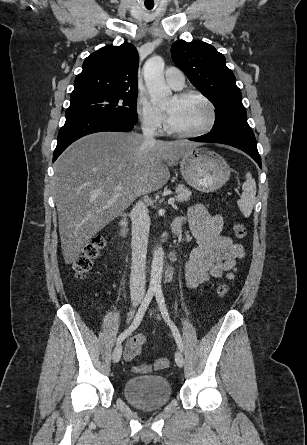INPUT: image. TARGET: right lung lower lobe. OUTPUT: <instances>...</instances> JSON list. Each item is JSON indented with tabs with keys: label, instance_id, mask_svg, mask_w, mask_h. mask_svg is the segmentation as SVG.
<instances>
[{
	"label": "right lung lower lobe",
	"instance_id": "right-lung-lower-lobe-1",
	"mask_svg": "<svg viewBox=\"0 0 307 445\" xmlns=\"http://www.w3.org/2000/svg\"><path fill=\"white\" fill-rule=\"evenodd\" d=\"M135 124L118 118L98 115L66 119L58 134L53 162L71 143L85 135L101 131H128Z\"/></svg>",
	"mask_w": 307,
	"mask_h": 445
}]
</instances>
